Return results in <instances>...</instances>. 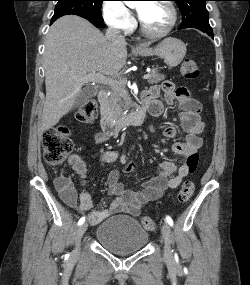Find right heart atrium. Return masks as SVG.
<instances>
[{
	"mask_svg": "<svg viewBox=\"0 0 250 285\" xmlns=\"http://www.w3.org/2000/svg\"><path fill=\"white\" fill-rule=\"evenodd\" d=\"M102 16L109 27L122 32L130 31L135 24L130 10L121 0H106L102 5Z\"/></svg>",
	"mask_w": 250,
	"mask_h": 285,
	"instance_id": "1",
	"label": "right heart atrium"
}]
</instances>
